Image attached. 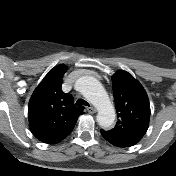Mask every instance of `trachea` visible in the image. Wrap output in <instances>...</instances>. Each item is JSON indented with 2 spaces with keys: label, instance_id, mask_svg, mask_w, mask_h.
<instances>
[{
  "label": "trachea",
  "instance_id": "trachea-1",
  "mask_svg": "<svg viewBox=\"0 0 176 176\" xmlns=\"http://www.w3.org/2000/svg\"><path fill=\"white\" fill-rule=\"evenodd\" d=\"M76 105H85V106H90L89 105V103L87 102V101H85V100H83V99H78L77 101H76Z\"/></svg>",
  "mask_w": 176,
  "mask_h": 176
}]
</instances>
